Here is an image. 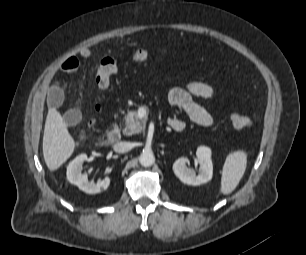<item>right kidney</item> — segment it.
Returning <instances> with one entry per match:
<instances>
[{
	"instance_id": "right-kidney-1",
	"label": "right kidney",
	"mask_w": 306,
	"mask_h": 255,
	"mask_svg": "<svg viewBox=\"0 0 306 255\" xmlns=\"http://www.w3.org/2000/svg\"><path fill=\"white\" fill-rule=\"evenodd\" d=\"M87 159L86 154L77 156L71 161L67 167V179L71 184L78 186V188L89 194H96L102 190H106L110 185V178L98 181L97 183L88 182L87 174L81 173L83 162Z\"/></svg>"
}]
</instances>
